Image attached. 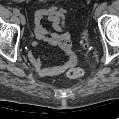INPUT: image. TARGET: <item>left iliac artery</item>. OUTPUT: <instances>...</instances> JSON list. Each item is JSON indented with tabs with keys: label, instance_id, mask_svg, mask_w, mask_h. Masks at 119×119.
Masks as SVG:
<instances>
[{
	"label": "left iliac artery",
	"instance_id": "1",
	"mask_svg": "<svg viewBox=\"0 0 119 119\" xmlns=\"http://www.w3.org/2000/svg\"><path fill=\"white\" fill-rule=\"evenodd\" d=\"M101 7H102L103 9L107 8V3H106V2H103V3L101 4Z\"/></svg>",
	"mask_w": 119,
	"mask_h": 119
}]
</instances>
